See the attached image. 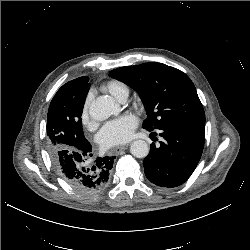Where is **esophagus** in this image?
I'll use <instances>...</instances> for the list:
<instances>
[{
	"label": "esophagus",
	"mask_w": 250,
	"mask_h": 250,
	"mask_svg": "<svg viewBox=\"0 0 250 250\" xmlns=\"http://www.w3.org/2000/svg\"><path fill=\"white\" fill-rule=\"evenodd\" d=\"M129 145L126 144V145H122V146H118V147H115L112 151L116 154H118L120 151L122 150H125Z\"/></svg>",
	"instance_id": "1"
}]
</instances>
